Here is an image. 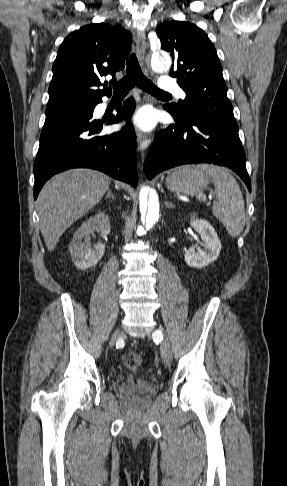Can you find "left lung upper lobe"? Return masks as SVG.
<instances>
[{
	"instance_id": "5c2ea615",
	"label": "left lung upper lobe",
	"mask_w": 287,
	"mask_h": 486,
	"mask_svg": "<svg viewBox=\"0 0 287 486\" xmlns=\"http://www.w3.org/2000/svg\"><path fill=\"white\" fill-rule=\"evenodd\" d=\"M156 33L173 59L170 76L178 78L186 93L183 101L164 108L181 121L202 118L238 129L222 66L208 36L192 23L175 20L160 24Z\"/></svg>"
}]
</instances>
